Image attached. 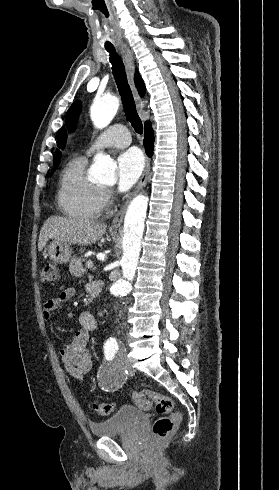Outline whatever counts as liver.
<instances>
[{
  "mask_svg": "<svg viewBox=\"0 0 279 490\" xmlns=\"http://www.w3.org/2000/svg\"><path fill=\"white\" fill-rule=\"evenodd\" d=\"M107 224H99L85 218H60L51 216L44 222L39 240L38 250L42 252L48 240H56L61 244H93L105 234Z\"/></svg>",
  "mask_w": 279,
  "mask_h": 490,
  "instance_id": "1",
  "label": "liver"
}]
</instances>
